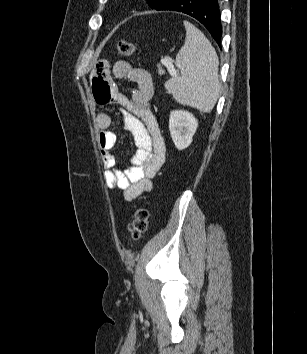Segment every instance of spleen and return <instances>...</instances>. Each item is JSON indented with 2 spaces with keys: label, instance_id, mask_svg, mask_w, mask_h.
<instances>
[{
  "label": "spleen",
  "instance_id": "3e777b00",
  "mask_svg": "<svg viewBox=\"0 0 307 354\" xmlns=\"http://www.w3.org/2000/svg\"><path fill=\"white\" fill-rule=\"evenodd\" d=\"M184 26L185 43L175 60L181 76L168 80L165 88L178 103L209 113L220 91L219 59L210 41L199 29L187 21Z\"/></svg>",
  "mask_w": 307,
  "mask_h": 354
}]
</instances>
